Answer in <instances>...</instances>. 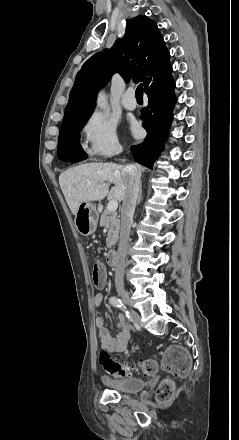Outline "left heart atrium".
<instances>
[{
  "label": "left heart atrium",
  "mask_w": 239,
  "mask_h": 440,
  "mask_svg": "<svg viewBox=\"0 0 239 440\" xmlns=\"http://www.w3.org/2000/svg\"><path fill=\"white\" fill-rule=\"evenodd\" d=\"M132 130H133L134 132H136V131H137V126L134 125V126L132 127Z\"/></svg>",
  "instance_id": "left-heart-atrium-1"
}]
</instances>
